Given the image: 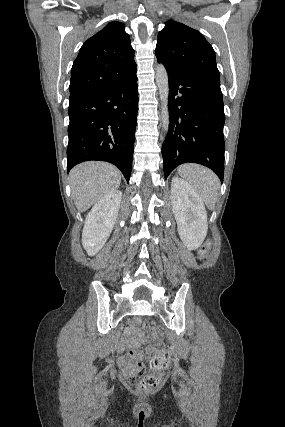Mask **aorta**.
I'll use <instances>...</instances> for the list:
<instances>
[{"label": "aorta", "instance_id": "762f6f07", "mask_svg": "<svg viewBox=\"0 0 285 427\" xmlns=\"http://www.w3.org/2000/svg\"><path fill=\"white\" fill-rule=\"evenodd\" d=\"M155 80L158 87L159 98L161 101L162 130L164 134H167L170 121L168 110L169 80L167 70L163 64L157 65Z\"/></svg>", "mask_w": 285, "mask_h": 427}]
</instances>
